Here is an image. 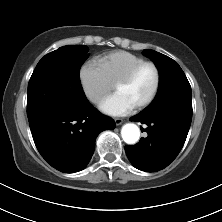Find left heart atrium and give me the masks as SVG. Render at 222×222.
<instances>
[{"instance_id":"1","label":"left heart atrium","mask_w":222,"mask_h":222,"mask_svg":"<svg viewBox=\"0 0 222 222\" xmlns=\"http://www.w3.org/2000/svg\"><path fill=\"white\" fill-rule=\"evenodd\" d=\"M134 108L132 102L120 93H114L99 103V109L110 116H125Z\"/></svg>"}]
</instances>
